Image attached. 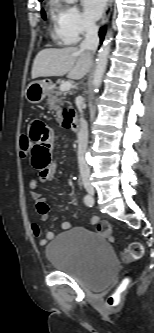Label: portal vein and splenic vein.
Segmentation results:
<instances>
[{"label": "portal vein and splenic vein", "instance_id": "obj_1", "mask_svg": "<svg viewBox=\"0 0 154 333\" xmlns=\"http://www.w3.org/2000/svg\"><path fill=\"white\" fill-rule=\"evenodd\" d=\"M71 87H72V83L70 81H66L60 85L59 89H60V91H68L71 89Z\"/></svg>", "mask_w": 154, "mask_h": 333}]
</instances>
